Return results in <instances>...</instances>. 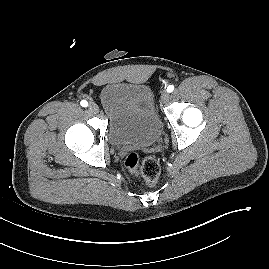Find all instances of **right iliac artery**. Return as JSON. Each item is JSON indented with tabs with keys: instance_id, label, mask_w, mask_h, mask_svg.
<instances>
[{
	"instance_id": "obj_1",
	"label": "right iliac artery",
	"mask_w": 269,
	"mask_h": 269,
	"mask_svg": "<svg viewBox=\"0 0 269 269\" xmlns=\"http://www.w3.org/2000/svg\"><path fill=\"white\" fill-rule=\"evenodd\" d=\"M80 104H81L82 107H87L88 106V102L86 100H82L80 102Z\"/></svg>"
}]
</instances>
